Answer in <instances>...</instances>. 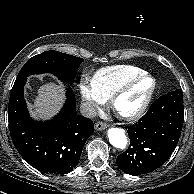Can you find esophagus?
<instances>
[{
	"label": "esophagus",
	"instance_id": "34e87169",
	"mask_svg": "<svg viewBox=\"0 0 194 194\" xmlns=\"http://www.w3.org/2000/svg\"><path fill=\"white\" fill-rule=\"evenodd\" d=\"M109 125L107 123H104V122H97L95 124V129L96 130H104L108 127Z\"/></svg>",
	"mask_w": 194,
	"mask_h": 194
}]
</instances>
